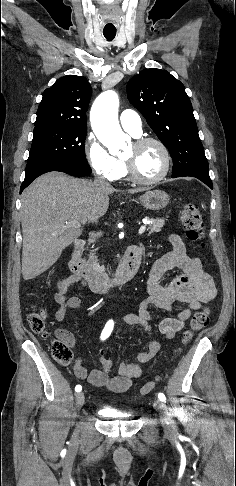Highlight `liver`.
Masks as SVG:
<instances>
[{"mask_svg": "<svg viewBox=\"0 0 236 486\" xmlns=\"http://www.w3.org/2000/svg\"><path fill=\"white\" fill-rule=\"evenodd\" d=\"M113 192L111 186L97 188L91 181L61 172L44 174L27 187L21 197L23 279L31 280L49 269L82 234L81 225L96 222L107 212L108 195Z\"/></svg>", "mask_w": 236, "mask_h": 486, "instance_id": "6515ba94", "label": "liver"}]
</instances>
